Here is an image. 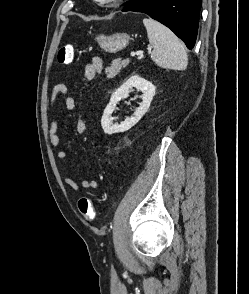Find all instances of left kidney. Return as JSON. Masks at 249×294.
Masks as SVG:
<instances>
[{
	"label": "left kidney",
	"mask_w": 249,
	"mask_h": 294,
	"mask_svg": "<svg viewBox=\"0 0 249 294\" xmlns=\"http://www.w3.org/2000/svg\"><path fill=\"white\" fill-rule=\"evenodd\" d=\"M136 88L143 94L141 96L142 103L135 109L133 116L126 118L120 124H113L112 113L115 110L116 104L124 98L129 96V90ZM155 86L150 82L140 77L139 75L131 76L125 83H123L118 89H116L104 110L101 126L106 134H114L125 132L133 127L142 118V116L147 112L150 107V103L155 95Z\"/></svg>",
	"instance_id": "1"
}]
</instances>
